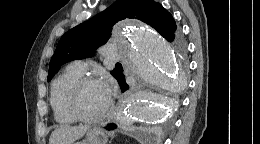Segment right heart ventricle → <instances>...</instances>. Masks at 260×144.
<instances>
[{"instance_id": "e07e8e85", "label": "right heart ventricle", "mask_w": 260, "mask_h": 144, "mask_svg": "<svg viewBox=\"0 0 260 144\" xmlns=\"http://www.w3.org/2000/svg\"><path fill=\"white\" fill-rule=\"evenodd\" d=\"M82 74L73 66H68L52 83L50 103L54 118L61 125H69L76 121L68 112L66 101L70 89Z\"/></svg>"}]
</instances>
